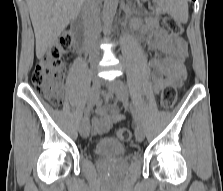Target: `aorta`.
Instances as JSON below:
<instances>
[{"label":"aorta","mask_w":223,"mask_h":191,"mask_svg":"<svg viewBox=\"0 0 223 191\" xmlns=\"http://www.w3.org/2000/svg\"><path fill=\"white\" fill-rule=\"evenodd\" d=\"M118 0H105L103 7V23L106 32H109L117 10Z\"/></svg>","instance_id":"1"}]
</instances>
